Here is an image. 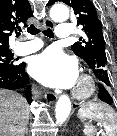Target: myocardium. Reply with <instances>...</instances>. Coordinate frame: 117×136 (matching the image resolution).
Segmentation results:
<instances>
[{
    "instance_id": "f54148a6",
    "label": "myocardium",
    "mask_w": 117,
    "mask_h": 136,
    "mask_svg": "<svg viewBox=\"0 0 117 136\" xmlns=\"http://www.w3.org/2000/svg\"><path fill=\"white\" fill-rule=\"evenodd\" d=\"M96 91L94 78L89 74H82L72 91V96L78 100L90 98Z\"/></svg>"
}]
</instances>
